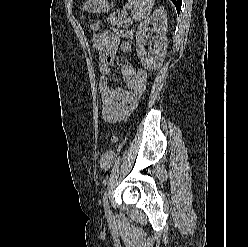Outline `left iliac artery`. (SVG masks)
Listing matches in <instances>:
<instances>
[{"label": "left iliac artery", "mask_w": 248, "mask_h": 247, "mask_svg": "<svg viewBox=\"0 0 248 247\" xmlns=\"http://www.w3.org/2000/svg\"><path fill=\"white\" fill-rule=\"evenodd\" d=\"M103 205H104L105 212L110 214L111 210H110L109 203H108V194H107V192H105L104 196H103Z\"/></svg>", "instance_id": "44dca946"}]
</instances>
